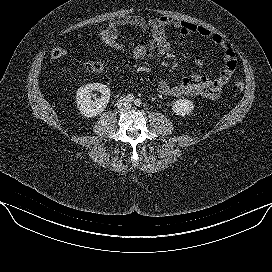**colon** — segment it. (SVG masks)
<instances>
[{"label":"colon","instance_id":"5ec220e1","mask_svg":"<svg viewBox=\"0 0 272 272\" xmlns=\"http://www.w3.org/2000/svg\"><path fill=\"white\" fill-rule=\"evenodd\" d=\"M98 39L103 45L122 52L130 51L132 53L135 48V46L130 47L121 35L110 32L106 29L98 33ZM65 55L66 50L62 47H55L51 51L52 59H60ZM104 67V63L101 60H91L85 63V69L91 73H101L104 71ZM235 87L241 91L244 88V83L241 80H238L235 82Z\"/></svg>","mask_w":272,"mask_h":272}]
</instances>
